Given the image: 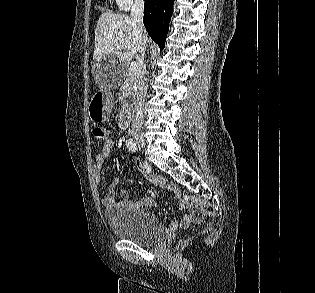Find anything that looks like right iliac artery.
Listing matches in <instances>:
<instances>
[{"label": "right iliac artery", "instance_id": "obj_1", "mask_svg": "<svg viewBox=\"0 0 315 293\" xmlns=\"http://www.w3.org/2000/svg\"><path fill=\"white\" fill-rule=\"evenodd\" d=\"M126 146L129 150L135 152L137 150L136 143L133 141V139L126 140Z\"/></svg>", "mask_w": 315, "mask_h": 293}]
</instances>
